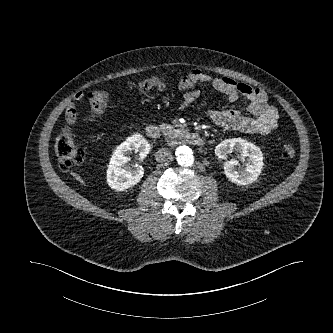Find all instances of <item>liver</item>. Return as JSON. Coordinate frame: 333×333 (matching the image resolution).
Wrapping results in <instances>:
<instances>
[{"mask_svg":"<svg viewBox=\"0 0 333 333\" xmlns=\"http://www.w3.org/2000/svg\"><path fill=\"white\" fill-rule=\"evenodd\" d=\"M76 178H77L78 181H80L82 184H84L83 179L79 175H77Z\"/></svg>","mask_w":333,"mask_h":333,"instance_id":"liver-1","label":"liver"}]
</instances>
